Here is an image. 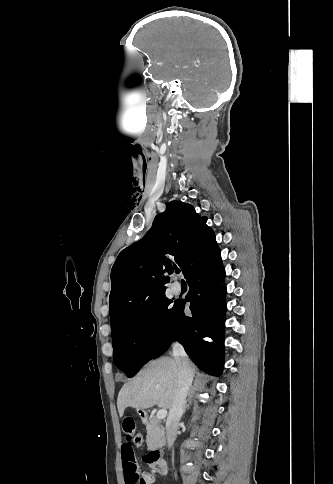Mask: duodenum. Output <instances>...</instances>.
Returning <instances> with one entry per match:
<instances>
[{"mask_svg":"<svg viewBox=\"0 0 333 484\" xmlns=\"http://www.w3.org/2000/svg\"><path fill=\"white\" fill-rule=\"evenodd\" d=\"M148 458L150 460V463L152 465L153 470L159 474V475H164L167 472L166 468V463L164 459L161 457V451L160 450H152L148 454Z\"/></svg>","mask_w":333,"mask_h":484,"instance_id":"obj_1","label":"duodenum"}]
</instances>
